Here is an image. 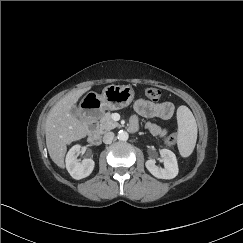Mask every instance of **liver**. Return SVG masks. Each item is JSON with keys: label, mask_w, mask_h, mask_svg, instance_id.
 Returning a JSON list of instances; mask_svg holds the SVG:
<instances>
[{"label": "liver", "mask_w": 243, "mask_h": 243, "mask_svg": "<svg viewBox=\"0 0 243 243\" xmlns=\"http://www.w3.org/2000/svg\"><path fill=\"white\" fill-rule=\"evenodd\" d=\"M88 90L90 87L69 92L51 108L48 114L45 124L46 145L52 161L60 168L65 166L67 145L88 134L87 126L70 113L71 108Z\"/></svg>", "instance_id": "liver-1"}]
</instances>
